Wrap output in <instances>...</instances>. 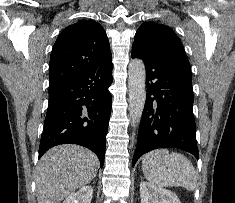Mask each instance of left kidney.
<instances>
[{"instance_id":"left-kidney-1","label":"left kidney","mask_w":235,"mask_h":203,"mask_svg":"<svg viewBox=\"0 0 235 203\" xmlns=\"http://www.w3.org/2000/svg\"><path fill=\"white\" fill-rule=\"evenodd\" d=\"M140 196L141 203H181L175 193L146 181L140 183Z\"/></svg>"}]
</instances>
